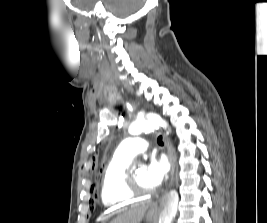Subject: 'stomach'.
I'll use <instances>...</instances> for the list:
<instances>
[{"mask_svg": "<svg viewBox=\"0 0 267 223\" xmlns=\"http://www.w3.org/2000/svg\"><path fill=\"white\" fill-rule=\"evenodd\" d=\"M156 217V212L154 210H149L147 215H146V219L151 222L152 220H154Z\"/></svg>", "mask_w": 267, "mask_h": 223, "instance_id": "1", "label": "stomach"}]
</instances>
